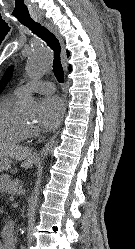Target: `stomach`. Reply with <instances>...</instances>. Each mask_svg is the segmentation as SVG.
<instances>
[{
    "label": "stomach",
    "instance_id": "stomach-1",
    "mask_svg": "<svg viewBox=\"0 0 135 249\" xmlns=\"http://www.w3.org/2000/svg\"><path fill=\"white\" fill-rule=\"evenodd\" d=\"M10 164H11V160L9 159V157L0 155V173L7 171L8 168L10 167ZM3 178H4V175H1L0 180H3Z\"/></svg>",
    "mask_w": 135,
    "mask_h": 249
}]
</instances>
